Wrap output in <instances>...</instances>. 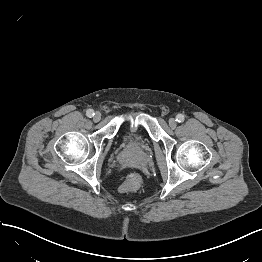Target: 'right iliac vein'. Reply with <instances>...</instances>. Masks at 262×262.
<instances>
[{
	"label": "right iliac vein",
	"instance_id": "obj_1",
	"mask_svg": "<svg viewBox=\"0 0 262 262\" xmlns=\"http://www.w3.org/2000/svg\"><path fill=\"white\" fill-rule=\"evenodd\" d=\"M100 119H101V113H100V112H96V113L94 114V116H93V120H94L95 122H98V121H100Z\"/></svg>",
	"mask_w": 262,
	"mask_h": 262
}]
</instances>
